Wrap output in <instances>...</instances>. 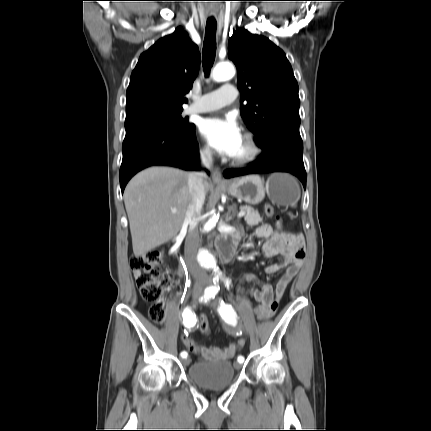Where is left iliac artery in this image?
<instances>
[{
	"label": "left iliac artery",
	"mask_w": 431,
	"mask_h": 431,
	"mask_svg": "<svg viewBox=\"0 0 431 431\" xmlns=\"http://www.w3.org/2000/svg\"><path fill=\"white\" fill-rule=\"evenodd\" d=\"M226 285H227V287L229 286V281L228 280L226 281ZM217 292H218V289L215 287L212 290V296L211 297H214V295ZM218 311H219V314L221 315V317L224 318L226 321H228L230 323H233V324L235 323L236 313H235L233 307L230 304H226L223 301H221V305H220ZM237 360H238L239 363H243L244 362V357L243 356H239Z\"/></svg>",
	"instance_id": "44dca946"
}]
</instances>
